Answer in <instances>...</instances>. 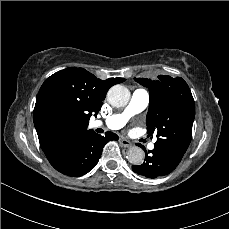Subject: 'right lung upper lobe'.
Segmentation results:
<instances>
[{"instance_id": "right-lung-upper-lobe-1", "label": "right lung upper lobe", "mask_w": 229, "mask_h": 229, "mask_svg": "<svg viewBox=\"0 0 229 229\" xmlns=\"http://www.w3.org/2000/svg\"><path fill=\"white\" fill-rule=\"evenodd\" d=\"M124 78L97 79L83 68L70 67L48 77L37 95L33 112L40 146L49 161L72 140L89 130V118L101 109L110 87ZM65 111L63 119L57 113Z\"/></svg>"}]
</instances>
